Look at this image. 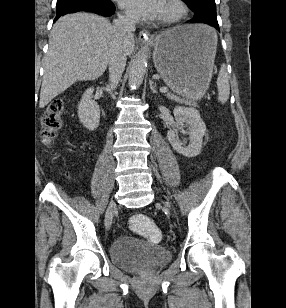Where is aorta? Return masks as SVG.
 Returning a JSON list of instances; mask_svg holds the SVG:
<instances>
[{
    "label": "aorta",
    "mask_w": 286,
    "mask_h": 308,
    "mask_svg": "<svg viewBox=\"0 0 286 308\" xmlns=\"http://www.w3.org/2000/svg\"><path fill=\"white\" fill-rule=\"evenodd\" d=\"M148 63V53L147 51H141L132 63L129 72V86L132 89H136L143 82V78L146 72Z\"/></svg>",
    "instance_id": "obj_1"
}]
</instances>
